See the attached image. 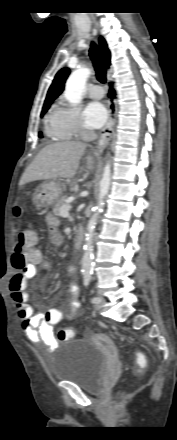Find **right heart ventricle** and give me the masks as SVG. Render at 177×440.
Returning <instances> with one entry per match:
<instances>
[{
  "instance_id": "obj_1",
  "label": "right heart ventricle",
  "mask_w": 177,
  "mask_h": 440,
  "mask_svg": "<svg viewBox=\"0 0 177 440\" xmlns=\"http://www.w3.org/2000/svg\"><path fill=\"white\" fill-rule=\"evenodd\" d=\"M45 132L52 140H63L67 137L59 128L55 110L53 109L45 118Z\"/></svg>"
}]
</instances>
